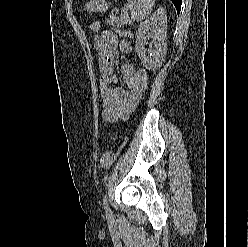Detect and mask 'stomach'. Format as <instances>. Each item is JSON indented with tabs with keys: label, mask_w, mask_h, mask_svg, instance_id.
Wrapping results in <instances>:
<instances>
[{
	"label": "stomach",
	"mask_w": 248,
	"mask_h": 247,
	"mask_svg": "<svg viewBox=\"0 0 248 247\" xmlns=\"http://www.w3.org/2000/svg\"><path fill=\"white\" fill-rule=\"evenodd\" d=\"M85 9L92 12H103L108 9V3L105 0H90Z\"/></svg>",
	"instance_id": "obj_1"
}]
</instances>
